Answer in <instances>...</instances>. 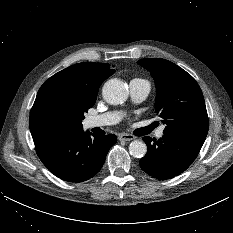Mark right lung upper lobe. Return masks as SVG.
<instances>
[{
  "label": "right lung upper lobe",
  "instance_id": "obj_1",
  "mask_svg": "<svg viewBox=\"0 0 233 233\" xmlns=\"http://www.w3.org/2000/svg\"><path fill=\"white\" fill-rule=\"evenodd\" d=\"M115 72L106 63L82 62L72 65L46 80L40 87L30 112L29 127L33 139L61 131L82 129L87 104L96 101L100 85ZM68 97L63 113L57 97Z\"/></svg>",
  "mask_w": 233,
  "mask_h": 233
}]
</instances>
